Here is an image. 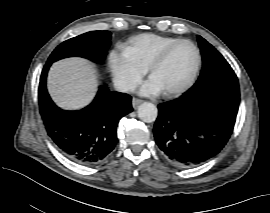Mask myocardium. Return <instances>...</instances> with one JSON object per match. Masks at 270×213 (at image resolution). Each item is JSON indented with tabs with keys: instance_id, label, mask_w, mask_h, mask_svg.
I'll use <instances>...</instances> for the list:
<instances>
[{
	"instance_id": "f54148a6",
	"label": "myocardium",
	"mask_w": 270,
	"mask_h": 213,
	"mask_svg": "<svg viewBox=\"0 0 270 213\" xmlns=\"http://www.w3.org/2000/svg\"><path fill=\"white\" fill-rule=\"evenodd\" d=\"M182 44H188L190 46L193 47L195 53H196V65L195 68L192 72L191 77L189 78V80L182 85L179 88L176 89H170V90H166L163 91V95L167 96V97H171V96H176V95H180L186 91H188L195 83L196 78L198 76V72L200 69V65H201V55H200V51L198 49V47L190 40H186V39H180L172 44H170L169 46H167L165 49H163L149 64L148 66V71H149V77L152 78L155 69L164 62V60L167 58V56L169 55V53L177 46L182 45Z\"/></svg>"
}]
</instances>
